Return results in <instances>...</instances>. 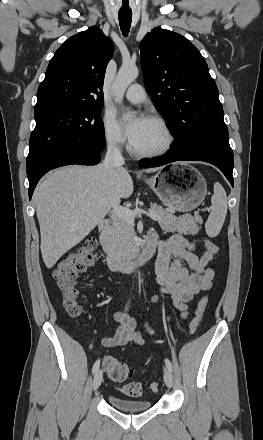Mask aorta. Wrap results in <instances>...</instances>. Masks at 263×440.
Wrapping results in <instances>:
<instances>
[{"mask_svg": "<svg viewBox=\"0 0 263 440\" xmlns=\"http://www.w3.org/2000/svg\"><path fill=\"white\" fill-rule=\"evenodd\" d=\"M139 71L134 64H123L113 84L115 101L121 103L128 86L138 77Z\"/></svg>", "mask_w": 263, "mask_h": 440, "instance_id": "obj_1", "label": "aorta"}]
</instances>
